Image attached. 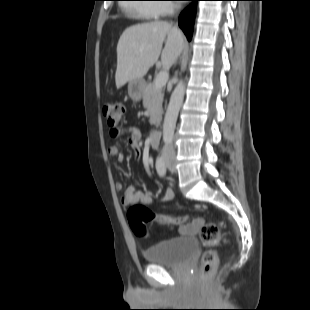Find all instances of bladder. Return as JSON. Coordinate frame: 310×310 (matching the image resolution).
Returning a JSON list of instances; mask_svg holds the SVG:
<instances>
[{
  "instance_id": "1",
  "label": "bladder",
  "mask_w": 310,
  "mask_h": 310,
  "mask_svg": "<svg viewBox=\"0 0 310 310\" xmlns=\"http://www.w3.org/2000/svg\"><path fill=\"white\" fill-rule=\"evenodd\" d=\"M199 245L192 237H174L160 241L145 250L149 264L181 266L189 262L198 252Z\"/></svg>"
}]
</instances>
